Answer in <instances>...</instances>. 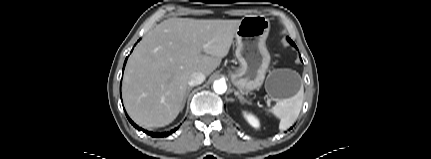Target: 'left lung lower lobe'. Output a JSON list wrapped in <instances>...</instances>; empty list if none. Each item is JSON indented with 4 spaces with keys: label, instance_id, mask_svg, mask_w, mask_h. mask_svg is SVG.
Wrapping results in <instances>:
<instances>
[{
    "label": "left lung lower lobe",
    "instance_id": "obj_1",
    "mask_svg": "<svg viewBox=\"0 0 431 159\" xmlns=\"http://www.w3.org/2000/svg\"><path fill=\"white\" fill-rule=\"evenodd\" d=\"M287 39L292 45H294L296 47V45L294 44V42L290 38H287Z\"/></svg>",
    "mask_w": 431,
    "mask_h": 159
}]
</instances>
